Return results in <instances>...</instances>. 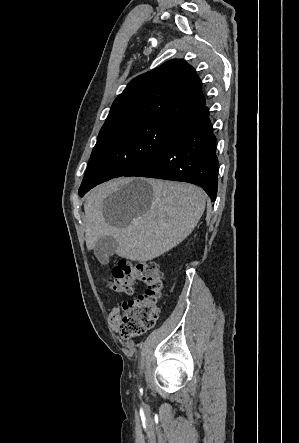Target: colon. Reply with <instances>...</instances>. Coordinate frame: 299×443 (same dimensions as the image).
<instances>
[{
    "mask_svg": "<svg viewBox=\"0 0 299 443\" xmlns=\"http://www.w3.org/2000/svg\"><path fill=\"white\" fill-rule=\"evenodd\" d=\"M137 282L146 285L144 294L121 307L120 334L124 339L137 337L151 329L160 315L158 301L164 288L163 274L156 262L120 261L113 267L108 284L118 294L131 295Z\"/></svg>",
    "mask_w": 299,
    "mask_h": 443,
    "instance_id": "1",
    "label": "colon"
}]
</instances>
